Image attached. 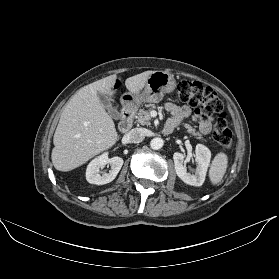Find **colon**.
Here are the masks:
<instances>
[{"mask_svg": "<svg viewBox=\"0 0 279 279\" xmlns=\"http://www.w3.org/2000/svg\"><path fill=\"white\" fill-rule=\"evenodd\" d=\"M176 99L194 108L203 120L214 119L213 138L222 147L232 145V132L217 93L198 81H182L176 88Z\"/></svg>", "mask_w": 279, "mask_h": 279, "instance_id": "5ec220e1", "label": "colon"}]
</instances>
